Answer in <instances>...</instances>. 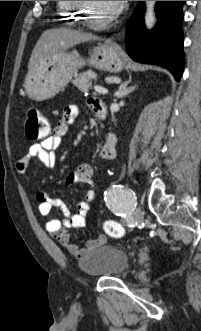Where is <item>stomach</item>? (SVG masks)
I'll return each mask as SVG.
<instances>
[{
	"label": "stomach",
	"instance_id": "stomach-1",
	"mask_svg": "<svg viewBox=\"0 0 201 331\" xmlns=\"http://www.w3.org/2000/svg\"><path fill=\"white\" fill-rule=\"evenodd\" d=\"M88 63L109 72L123 70L124 54L114 45L99 43L90 52ZM86 61L75 51L60 52L28 72L24 86L30 98L42 101L62 91Z\"/></svg>",
	"mask_w": 201,
	"mask_h": 331
}]
</instances>
